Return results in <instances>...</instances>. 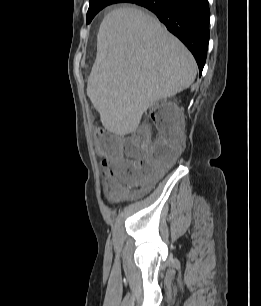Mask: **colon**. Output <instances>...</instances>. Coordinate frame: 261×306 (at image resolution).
<instances>
[{
	"mask_svg": "<svg viewBox=\"0 0 261 306\" xmlns=\"http://www.w3.org/2000/svg\"><path fill=\"white\" fill-rule=\"evenodd\" d=\"M150 116L157 130L155 140L151 139L147 125H141L125 140L104 133L97 136V150L114 162L110 173L103 176L108 194L121 192L126 186H146L156 181L177 159L184 137L183 117L166 104L154 106ZM121 148L126 153L125 159Z\"/></svg>",
	"mask_w": 261,
	"mask_h": 306,
	"instance_id": "5ec220e1",
	"label": "colon"
}]
</instances>
